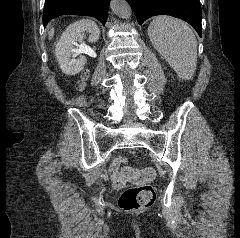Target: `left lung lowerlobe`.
Wrapping results in <instances>:
<instances>
[{
	"mask_svg": "<svg viewBox=\"0 0 240 238\" xmlns=\"http://www.w3.org/2000/svg\"><path fill=\"white\" fill-rule=\"evenodd\" d=\"M133 9L137 21L157 15H168L191 24L199 36L202 35V10L199 0H126Z\"/></svg>",
	"mask_w": 240,
	"mask_h": 238,
	"instance_id": "0a47b994",
	"label": "left lung lower lobe"
}]
</instances>
